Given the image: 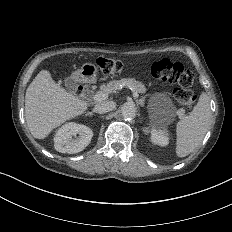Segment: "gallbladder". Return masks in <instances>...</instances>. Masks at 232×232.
<instances>
[{
    "instance_id": "obj_1",
    "label": "gallbladder",
    "mask_w": 232,
    "mask_h": 232,
    "mask_svg": "<svg viewBox=\"0 0 232 232\" xmlns=\"http://www.w3.org/2000/svg\"><path fill=\"white\" fill-rule=\"evenodd\" d=\"M63 85L71 92H77L79 89L78 82L71 78L63 79Z\"/></svg>"
}]
</instances>
